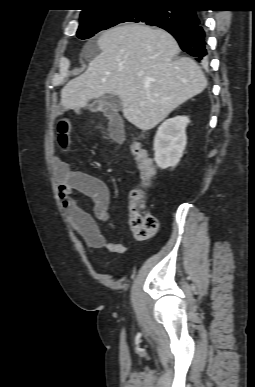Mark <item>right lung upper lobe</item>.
I'll use <instances>...</instances> for the list:
<instances>
[{"mask_svg":"<svg viewBox=\"0 0 255 387\" xmlns=\"http://www.w3.org/2000/svg\"><path fill=\"white\" fill-rule=\"evenodd\" d=\"M85 8L82 10L80 18L108 10L125 6H158L168 4L177 8L186 7L193 4L194 0H84Z\"/></svg>","mask_w":255,"mask_h":387,"instance_id":"obj_1","label":"right lung upper lobe"}]
</instances>
